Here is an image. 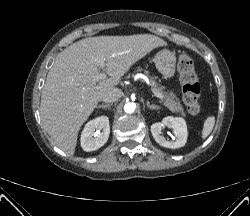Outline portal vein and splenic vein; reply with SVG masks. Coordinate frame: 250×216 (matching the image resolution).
<instances>
[{
	"label": "portal vein and splenic vein",
	"instance_id": "1",
	"mask_svg": "<svg viewBox=\"0 0 250 216\" xmlns=\"http://www.w3.org/2000/svg\"><path fill=\"white\" fill-rule=\"evenodd\" d=\"M98 63L100 64V66L103 68L104 67V63H105V58H99L98 59ZM97 80H103L106 78V73L105 72H101L97 75ZM152 93L154 94V96H156L159 99H162L163 96L161 93H159L158 91L151 89Z\"/></svg>",
	"mask_w": 250,
	"mask_h": 216
}]
</instances>
